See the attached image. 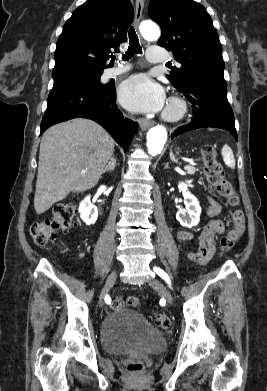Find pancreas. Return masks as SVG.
<instances>
[{
    "label": "pancreas",
    "instance_id": "obj_1",
    "mask_svg": "<svg viewBox=\"0 0 267 391\" xmlns=\"http://www.w3.org/2000/svg\"><path fill=\"white\" fill-rule=\"evenodd\" d=\"M188 174H194L196 169L193 166H185L184 168Z\"/></svg>",
    "mask_w": 267,
    "mask_h": 391
}]
</instances>
